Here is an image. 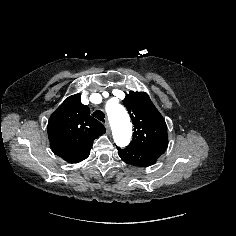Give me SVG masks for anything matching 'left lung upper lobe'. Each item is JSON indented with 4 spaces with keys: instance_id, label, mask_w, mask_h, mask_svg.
<instances>
[{
    "instance_id": "left-lung-upper-lobe-1",
    "label": "left lung upper lobe",
    "mask_w": 236,
    "mask_h": 236,
    "mask_svg": "<svg viewBox=\"0 0 236 236\" xmlns=\"http://www.w3.org/2000/svg\"><path fill=\"white\" fill-rule=\"evenodd\" d=\"M134 125V133L129 147L159 148L168 146L167 126L164 118L145 92L131 91L124 101Z\"/></svg>"
}]
</instances>
